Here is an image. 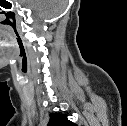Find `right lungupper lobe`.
<instances>
[{"instance_id": "cb5924a9", "label": "right lung upper lobe", "mask_w": 127, "mask_h": 126, "mask_svg": "<svg viewBox=\"0 0 127 126\" xmlns=\"http://www.w3.org/2000/svg\"><path fill=\"white\" fill-rule=\"evenodd\" d=\"M47 126H76V125L67 119L66 114L51 113L50 120Z\"/></svg>"}]
</instances>
